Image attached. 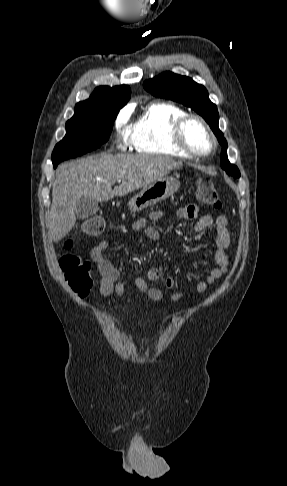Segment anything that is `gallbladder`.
<instances>
[{"label":"gallbladder","mask_w":287,"mask_h":486,"mask_svg":"<svg viewBox=\"0 0 287 486\" xmlns=\"http://www.w3.org/2000/svg\"><path fill=\"white\" fill-rule=\"evenodd\" d=\"M99 210L98 201L83 196L76 203L75 214L78 219H86L95 215Z\"/></svg>","instance_id":"bac80fb5"}]
</instances>
